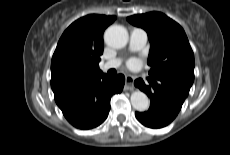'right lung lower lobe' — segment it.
<instances>
[{"mask_svg": "<svg viewBox=\"0 0 230 155\" xmlns=\"http://www.w3.org/2000/svg\"><path fill=\"white\" fill-rule=\"evenodd\" d=\"M125 77L101 73L87 81L54 90V97L65 118L76 128L91 129L108 116L112 95L120 93Z\"/></svg>", "mask_w": 230, "mask_h": 155, "instance_id": "obj_1", "label": "right lung lower lobe"}]
</instances>
